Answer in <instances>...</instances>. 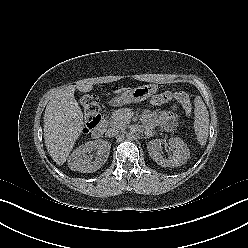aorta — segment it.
I'll list each match as a JSON object with an SVG mask.
<instances>
[{"label":"aorta","instance_id":"obj_1","mask_svg":"<svg viewBox=\"0 0 248 248\" xmlns=\"http://www.w3.org/2000/svg\"><path fill=\"white\" fill-rule=\"evenodd\" d=\"M138 136V133L136 131L135 128H130L127 132H126V137L130 140L136 139Z\"/></svg>","mask_w":248,"mask_h":248}]
</instances>
